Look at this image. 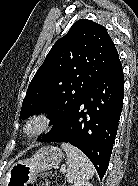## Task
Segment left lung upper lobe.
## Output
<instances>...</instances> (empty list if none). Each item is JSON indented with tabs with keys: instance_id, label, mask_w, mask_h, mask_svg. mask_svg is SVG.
<instances>
[{
	"instance_id": "obj_1",
	"label": "left lung upper lobe",
	"mask_w": 138,
	"mask_h": 186,
	"mask_svg": "<svg viewBox=\"0 0 138 186\" xmlns=\"http://www.w3.org/2000/svg\"><path fill=\"white\" fill-rule=\"evenodd\" d=\"M118 61V52L104 26L87 19L76 21L56 41L37 70L23 100L20 118L39 112L53 115V128L42 138L51 135Z\"/></svg>"
}]
</instances>
